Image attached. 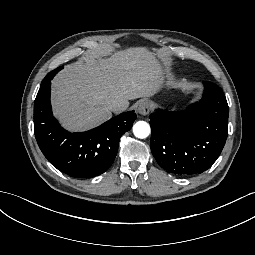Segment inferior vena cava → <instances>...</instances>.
<instances>
[{
    "label": "inferior vena cava",
    "mask_w": 255,
    "mask_h": 255,
    "mask_svg": "<svg viewBox=\"0 0 255 255\" xmlns=\"http://www.w3.org/2000/svg\"><path fill=\"white\" fill-rule=\"evenodd\" d=\"M110 109H111L113 112H115V113H119V112L123 111L124 107H123V105H122L121 102H119V101H113V102L111 103Z\"/></svg>",
    "instance_id": "inferior-vena-cava-1"
}]
</instances>
